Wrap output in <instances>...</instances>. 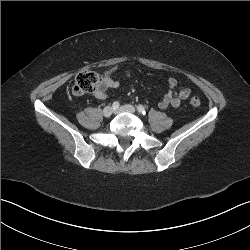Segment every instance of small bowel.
<instances>
[{
  "label": "small bowel",
  "mask_w": 250,
  "mask_h": 250,
  "mask_svg": "<svg viewBox=\"0 0 250 250\" xmlns=\"http://www.w3.org/2000/svg\"><path fill=\"white\" fill-rule=\"evenodd\" d=\"M122 72L125 76L129 77L131 72L128 69H121L119 67H111L107 69L102 78V82L93 95L98 99H105L108 97V91L119 87L120 83L115 80V74ZM178 82L174 77L167 79L168 92L162 97L158 103V107L165 109L168 107L178 108L191 94V90L187 87L177 89Z\"/></svg>",
  "instance_id": "obj_1"
}]
</instances>
